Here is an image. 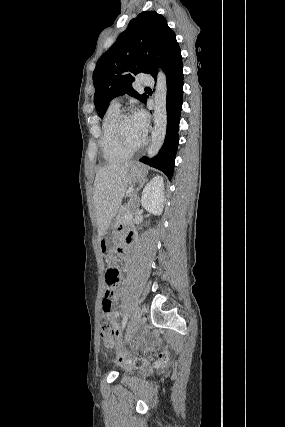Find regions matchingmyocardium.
Wrapping results in <instances>:
<instances>
[{"instance_id":"obj_1","label":"myocardium","mask_w":285,"mask_h":427,"mask_svg":"<svg viewBox=\"0 0 285 427\" xmlns=\"http://www.w3.org/2000/svg\"><path fill=\"white\" fill-rule=\"evenodd\" d=\"M131 116H133V114L130 112H121L116 118L115 125H114V133L118 143L123 149L129 152H136L142 149L146 145L147 139L144 138L139 144H136V145H132L126 140L123 133V122L125 121L126 118Z\"/></svg>"}]
</instances>
